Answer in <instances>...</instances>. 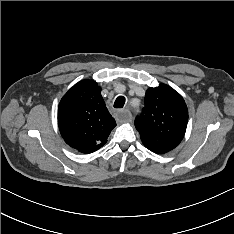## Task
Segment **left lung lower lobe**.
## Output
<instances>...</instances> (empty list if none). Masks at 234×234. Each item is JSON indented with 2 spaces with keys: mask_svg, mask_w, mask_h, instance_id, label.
<instances>
[{
  "mask_svg": "<svg viewBox=\"0 0 234 234\" xmlns=\"http://www.w3.org/2000/svg\"><path fill=\"white\" fill-rule=\"evenodd\" d=\"M143 144L146 148L158 154L167 153L177 146L176 143L169 140H158L154 143L143 142Z\"/></svg>",
  "mask_w": 234,
  "mask_h": 234,
  "instance_id": "left-lung-lower-lobe-1",
  "label": "left lung lower lobe"
}]
</instances>
